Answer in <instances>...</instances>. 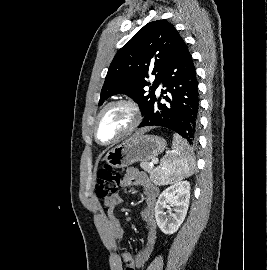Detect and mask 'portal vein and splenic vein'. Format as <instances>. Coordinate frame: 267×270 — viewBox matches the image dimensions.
Returning a JSON list of instances; mask_svg holds the SVG:
<instances>
[{"mask_svg":"<svg viewBox=\"0 0 267 270\" xmlns=\"http://www.w3.org/2000/svg\"><path fill=\"white\" fill-rule=\"evenodd\" d=\"M157 162H158L157 159H153L150 164L153 165V164H156Z\"/></svg>","mask_w":267,"mask_h":270,"instance_id":"18ae733b","label":"portal vein and splenic vein"}]
</instances>
